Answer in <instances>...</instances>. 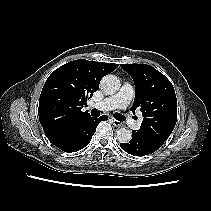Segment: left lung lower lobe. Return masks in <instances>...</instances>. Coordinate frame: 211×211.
<instances>
[{"instance_id":"0a47b994","label":"left lung lower lobe","mask_w":211,"mask_h":211,"mask_svg":"<svg viewBox=\"0 0 211 211\" xmlns=\"http://www.w3.org/2000/svg\"><path fill=\"white\" fill-rule=\"evenodd\" d=\"M132 134L133 136L129 143H120V147L131 155H149L162 146V144L146 135L139 133L138 131L133 130Z\"/></svg>"}]
</instances>
